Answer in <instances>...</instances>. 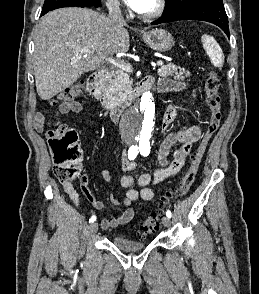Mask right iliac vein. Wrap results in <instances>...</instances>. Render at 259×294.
I'll use <instances>...</instances> for the list:
<instances>
[{"instance_id": "obj_1", "label": "right iliac vein", "mask_w": 259, "mask_h": 294, "mask_svg": "<svg viewBox=\"0 0 259 294\" xmlns=\"http://www.w3.org/2000/svg\"><path fill=\"white\" fill-rule=\"evenodd\" d=\"M89 230H90V233L91 234H94V233H96L97 232V230H98V223H92L91 225H90V227H89Z\"/></svg>"}]
</instances>
